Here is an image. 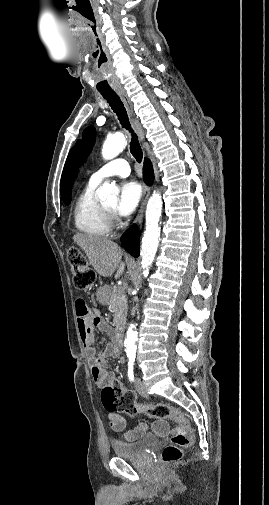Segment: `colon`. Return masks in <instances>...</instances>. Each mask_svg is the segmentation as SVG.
<instances>
[{
  "instance_id": "obj_1",
  "label": "colon",
  "mask_w": 269,
  "mask_h": 505,
  "mask_svg": "<svg viewBox=\"0 0 269 505\" xmlns=\"http://www.w3.org/2000/svg\"><path fill=\"white\" fill-rule=\"evenodd\" d=\"M67 258L73 272L75 287L80 291L90 290L95 282L96 275L88 266L85 256L77 248H70ZM82 307L88 306L84 304ZM101 400L104 408L109 412H123L131 416L141 414L148 417L171 418L174 420L177 426L172 434L171 444L166 446L162 452L165 463L178 461L183 455L184 448L192 442L189 421L180 411L165 404L138 405L135 394L132 391L124 390L117 379H113L107 386L103 387Z\"/></svg>"
}]
</instances>
